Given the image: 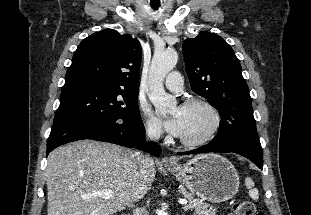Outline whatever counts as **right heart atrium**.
Wrapping results in <instances>:
<instances>
[{
    "mask_svg": "<svg viewBox=\"0 0 311 215\" xmlns=\"http://www.w3.org/2000/svg\"><path fill=\"white\" fill-rule=\"evenodd\" d=\"M139 109L145 134L150 138H159L162 134V130L157 119L146 105L141 104Z\"/></svg>",
    "mask_w": 311,
    "mask_h": 215,
    "instance_id": "d8ad5b80",
    "label": "right heart atrium"
}]
</instances>
